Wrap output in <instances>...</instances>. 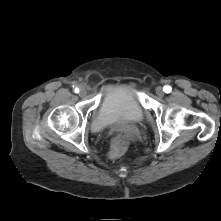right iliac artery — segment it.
I'll list each match as a JSON object with an SVG mask.
<instances>
[{"label":"right iliac artery","instance_id":"1","mask_svg":"<svg viewBox=\"0 0 221 221\" xmlns=\"http://www.w3.org/2000/svg\"><path fill=\"white\" fill-rule=\"evenodd\" d=\"M74 91H75V93H78V92H79V89H78V88H75Z\"/></svg>","mask_w":221,"mask_h":221}]
</instances>
